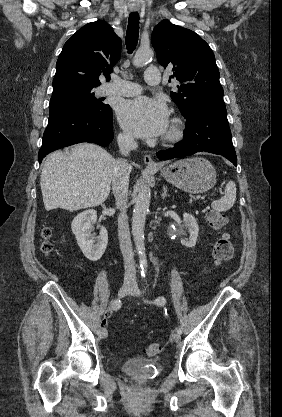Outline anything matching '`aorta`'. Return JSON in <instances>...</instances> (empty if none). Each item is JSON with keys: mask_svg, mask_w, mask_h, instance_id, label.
<instances>
[{"mask_svg": "<svg viewBox=\"0 0 282 417\" xmlns=\"http://www.w3.org/2000/svg\"><path fill=\"white\" fill-rule=\"evenodd\" d=\"M152 56H154L152 48H138L134 54L133 64L134 66H145L146 62L151 60ZM150 200L151 188L149 184H144L135 198L134 211L132 215V235L136 251L138 253L141 277H145V275H147L148 269L144 231Z\"/></svg>", "mask_w": 282, "mask_h": 417, "instance_id": "762f6f07", "label": "aorta"}]
</instances>
